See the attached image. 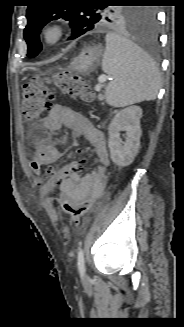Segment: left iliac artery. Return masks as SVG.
<instances>
[{"mask_svg": "<svg viewBox=\"0 0 184 327\" xmlns=\"http://www.w3.org/2000/svg\"><path fill=\"white\" fill-rule=\"evenodd\" d=\"M77 264H78L79 272L81 274H84V272H85V262H84V252H83L82 248H80L79 251H78Z\"/></svg>", "mask_w": 184, "mask_h": 327, "instance_id": "left-iliac-artery-1", "label": "left iliac artery"}]
</instances>
